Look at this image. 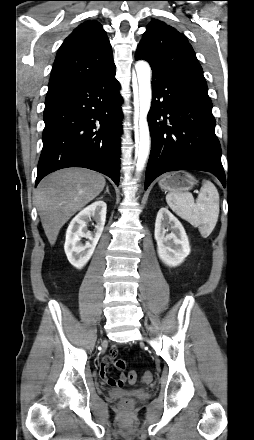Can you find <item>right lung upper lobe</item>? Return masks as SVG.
<instances>
[{
	"mask_svg": "<svg viewBox=\"0 0 254 440\" xmlns=\"http://www.w3.org/2000/svg\"><path fill=\"white\" fill-rule=\"evenodd\" d=\"M115 69L110 42L97 21L79 25L57 52L48 90Z\"/></svg>",
	"mask_w": 254,
	"mask_h": 440,
	"instance_id": "right-lung-upper-lobe-1",
	"label": "right lung upper lobe"
}]
</instances>
